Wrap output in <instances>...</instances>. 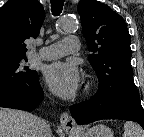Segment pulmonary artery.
Wrapping results in <instances>:
<instances>
[{"instance_id":"pulmonary-artery-1","label":"pulmonary artery","mask_w":144,"mask_h":137,"mask_svg":"<svg viewBox=\"0 0 144 137\" xmlns=\"http://www.w3.org/2000/svg\"><path fill=\"white\" fill-rule=\"evenodd\" d=\"M78 49L79 40L76 37H66L57 43L42 48L38 56L46 60L58 59L69 53L77 52Z\"/></svg>"}]
</instances>
